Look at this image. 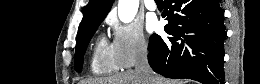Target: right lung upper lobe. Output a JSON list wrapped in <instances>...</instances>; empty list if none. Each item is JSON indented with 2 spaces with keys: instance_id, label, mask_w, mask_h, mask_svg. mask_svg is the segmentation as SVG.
<instances>
[{
  "instance_id": "right-lung-upper-lobe-1",
  "label": "right lung upper lobe",
  "mask_w": 260,
  "mask_h": 84,
  "mask_svg": "<svg viewBox=\"0 0 260 84\" xmlns=\"http://www.w3.org/2000/svg\"><path fill=\"white\" fill-rule=\"evenodd\" d=\"M113 1L114 0H90L85 8L78 35L93 23L103 21L111 8Z\"/></svg>"
}]
</instances>
